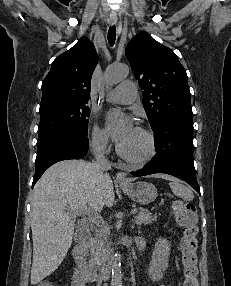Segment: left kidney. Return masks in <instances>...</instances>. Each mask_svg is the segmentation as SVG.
<instances>
[{"label":"left kidney","instance_id":"1","mask_svg":"<svg viewBox=\"0 0 231 286\" xmlns=\"http://www.w3.org/2000/svg\"><path fill=\"white\" fill-rule=\"evenodd\" d=\"M169 255L170 243L164 238H159L155 244L148 268V275L152 281H159L163 278V272L168 267Z\"/></svg>","mask_w":231,"mask_h":286}]
</instances>
